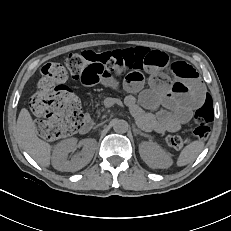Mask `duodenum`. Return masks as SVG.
<instances>
[{
    "mask_svg": "<svg viewBox=\"0 0 231 231\" xmlns=\"http://www.w3.org/2000/svg\"><path fill=\"white\" fill-rule=\"evenodd\" d=\"M92 127H93V120L90 117L86 116L81 124L80 132L87 133L91 130Z\"/></svg>",
    "mask_w": 231,
    "mask_h": 231,
    "instance_id": "1",
    "label": "duodenum"
}]
</instances>
